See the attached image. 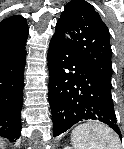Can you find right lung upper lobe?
Instances as JSON below:
<instances>
[{"instance_id": "1", "label": "right lung upper lobe", "mask_w": 124, "mask_h": 149, "mask_svg": "<svg viewBox=\"0 0 124 149\" xmlns=\"http://www.w3.org/2000/svg\"><path fill=\"white\" fill-rule=\"evenodd\" d=\"M27 36L28 26L22 16L13 15L0 22V47L19 45Z\"/></svg>"}]
</instances>
